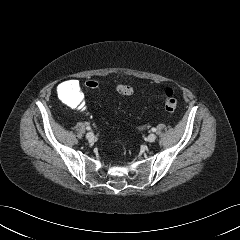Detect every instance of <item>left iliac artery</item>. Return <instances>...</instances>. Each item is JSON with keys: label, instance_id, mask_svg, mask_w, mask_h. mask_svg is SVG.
<instances>
[{"label": "left iliac artery", "instance_id": "obj_1", "mask_svg": "<svg viewBox=\"0 0 240 240\" xmlns=\"http://www.w3.org/2000/svg\"><path fill=\"white\" fill-rule=\"evenodd\" d=\"M152 131H153V132H156V128H152Z\"/></svg>", "mask_w": 240, "mask_h": 240}]
</instances>
